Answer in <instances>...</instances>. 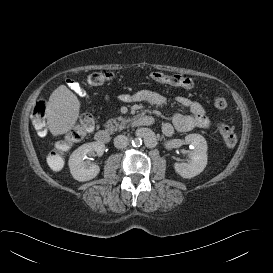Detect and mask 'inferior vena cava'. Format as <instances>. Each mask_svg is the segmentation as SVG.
Returning <instances> with one entry per match:
<instances>
[{
	"label": "inferior vena cava",
	"mask_w": 273,
	"mask_h": 273,
	"mask_svg": "<svg viewBox=\"0 0 273 273\" xmlns=\"http://www.w3.org/2000/svg\"><path fill=\"white\" fill-rule=\"evenodd\" d=\"M129 143L128 137L125 135H118L114 138V146L118 149L125 148Z\"/></svg>",
	"instance_id": "inferior-vena-cava-1"
}]
</instances>
